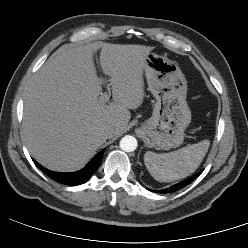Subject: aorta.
I'll use <instances>...</instances> for the list:
<instances>
[{"label":"aorta","mask_w":248,"mask_h":248,"mask_svg":"<svg viewBox=\"0 0 248 248\" xmlns=\"http://www.w3.org/2000/svg\"><path fill=\"white\" fill-rule=\"evenodd\" d=\"M120 148L125 152H132L137 148V140L135 137L126 135L120 140Z\"/></svg>","instance_id":"762f6f07"}]
</instances>
